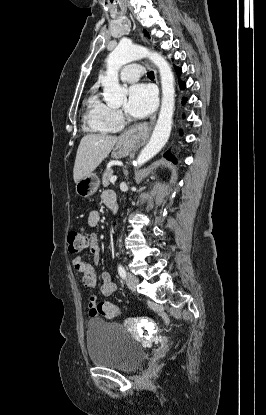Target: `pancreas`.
I'll list each match as a JSON object with an SVG mask.
<instances>
[{
	"label": "pancreas",
	"instance_id": "cf45deb5",
	"mask_svg": "<svg viewBox=\"0 0 266 415\" xmlns=\"http://www.w3.org/2000/svg\"><path fill=\"white\" fill-rule=\"evenodd\" d=\"M112 175H113V170L111 168L106 169V171L104 172L103 177H102V182H103L104 186L109 185L110 178L112 177Z\"/></svg>",
	"mask_w": 266,
	"mask_h": 415
}]
</instances>
